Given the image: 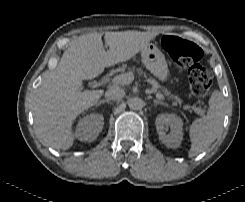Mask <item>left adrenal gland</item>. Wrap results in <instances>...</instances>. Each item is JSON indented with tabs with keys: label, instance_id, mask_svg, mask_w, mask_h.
<instances>
[{
	"label": "left adrenal gland",
	"instance_id": "left-adrenal-gland-1",
	"mask_svg": "<svg viewBox=\"0 0 245 202\" xmlns=\"http://www.w3.org/2000/svg\"><path fill=\"white\" fill-rule=\"evenodd\" d=\"M153 103L154 104H160V105H163V106H167V104L166 103H164V102H162V101H160V100H153Z\"/></svg>",
	"mask_w": 245,
	"mask_h": 202
}]
</instances>
